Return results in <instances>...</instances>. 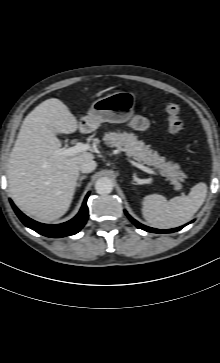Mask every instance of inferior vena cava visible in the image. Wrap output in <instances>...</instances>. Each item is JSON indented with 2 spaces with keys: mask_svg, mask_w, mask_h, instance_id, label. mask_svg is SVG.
<instances>
[{
  "mask_svg": "<svg viewBox=\"0 0 220 363\" xmlns=\"http://www.w3.org/2000/svg\"><path fill=\"white\" fill-rule=\"evenodd\" d=\"M97 164L94 160H84L79 164V170L82 173H91L95 170Z\"/></svg>",
  "mask_w": 220,
  "mask_h": 363,
  "instance_id": "inferior-vena-cava-1",
  "label": "inferior vena cava"
}]
</instances>
